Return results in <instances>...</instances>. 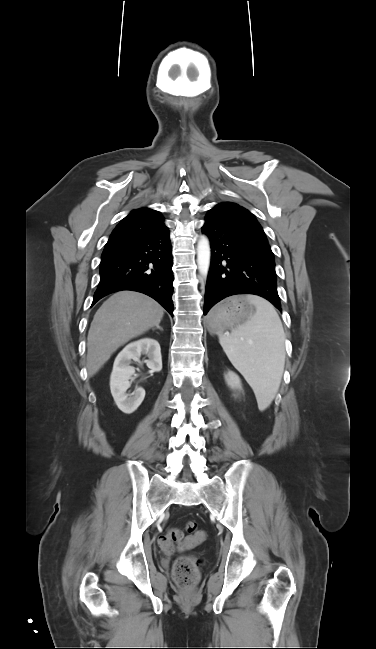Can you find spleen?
<instances>
[{"label":"spleen","instance_id":"3e777b00","mask_svg":"<svg viewBox=\"0 0 376 649\" xmlns=\"http://www.w3.org/2000/svg\"><path fill=\"white\" fill-rule=\"evenodd\" d=\"M256 312L230 335L219 333V342L233 366L245 377L256 396L259 410L274 399L285 365V334L271 303L247 295Z\"/></svg>","mask_w":376,"mask_h":649}]
</instances>
